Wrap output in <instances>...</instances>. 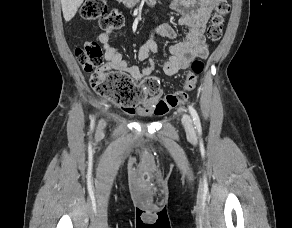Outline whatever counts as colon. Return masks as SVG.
I'll return each mask as SVG.
<instances>
[{
    "mask_svg": "<svg viewBox=\"0 0 292 228\" xmlns=\"http://www.w3.org/2000/svg\"><path fill=\"white\" fill-rule=\"evenodd\" d=\"M230 12V4L227 0H218L210 24L207 29V37L211 41H218L223 32L225 17ZM81 16L86 20H99L103 30H115L124 24L123 15L116 11H108L106 0H86L81 7ZM76 56L87 72H93L91 87L99 96L124 108H133L145 100L147 95L155 94L159 89L156 77H148L143 85H137L132 78L121 71L101 72L103 53L100 45L95 41H87L76 50ZM203 70V62L195 59L189 72L183 80V89L167 94L160 99L155 112L164 115L188 99V92L194 90L197 83V75Z\"/></svg>",
    "mask_w": 292,
    "mask_h": 228,
    "instance_id": "obj_1",
    "label": "colon"
}]
</instances>
